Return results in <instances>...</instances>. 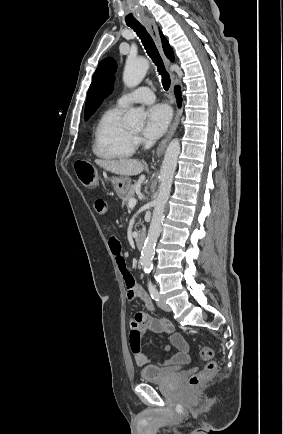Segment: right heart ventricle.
I'll return each mask as SVG.
<instances>
[{"label": "right heart ventricle", "mask_w": 283, "mask_h": 434, "mask_svg": "<svg viewBox=\"0 0 283 434\" xmlns=\"http://www.w3.org/2000/svg\"><path fill=\"white\" fill-rule=\"evenodd\" d=\"M123 108L107 109L99 118L94 130L92 151L103 160H122L131 157L136 142L131 132L122 124Z\"/></svg>", "instance_id": "1"}]
</instances>
